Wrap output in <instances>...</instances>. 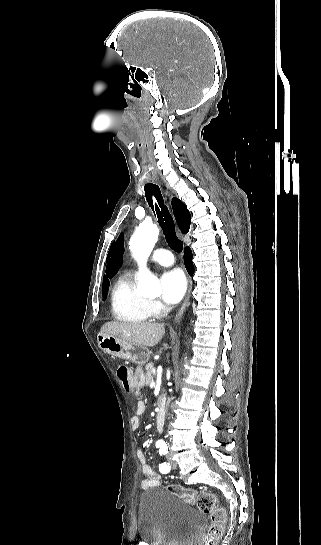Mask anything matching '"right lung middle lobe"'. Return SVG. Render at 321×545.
<instances>
[{"label":"right lung middle lobe","instance_id":"dd1d6c3e","mask_svg":"<svg viewBox=\"0 0 321 545\" xmlns=\"http://www.w3.org/2000/svg\"><path fill=\"white\" fill-rule=\"evenodd\" d=\"M107 290H108V288H107V289H103V300L105 299V297H106V295H107Z\"/></svg>","mask_w":321,"mask_h":545}]
</instances>
